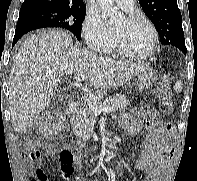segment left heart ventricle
<instances>
[{
    "mask_svg": "<svg viewBox=\"0 0 197 181\" xmlns=\"http://www.w3.org/2000/svg\"><path fill=\"white\" fill-rule=\"evenodd\" d=\"M113 32L120 42L134 53L148 52L153 43L152 32L142 23H129L125 19L114 28Z\"/></svg>",
    "mask_w": 197,
    "mask_h": 181,
    "instance_id": "1",
    "label": "left heart ventricle"
}]
</instances>
